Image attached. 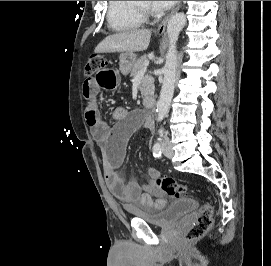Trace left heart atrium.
<instances>
[{"mask_svg":"<svg viewBox=\"0 0 271 266\" xmlns=\"http://www.w3.org/2000/svg\"><path fill=\"white\" fill-rule=\"evenodd\" d=\"M176 1H151V6L155 10H165L175 4Z\"/></svg>","mask_w":271,"mask_h":266,"instance_id":"left-heart-atrium-1","label":"left heart atrium"}]
</instances>
